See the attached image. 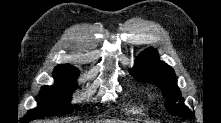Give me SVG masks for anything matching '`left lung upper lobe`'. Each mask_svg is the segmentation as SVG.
<instances>
[{
	"instance_id": "left-lung-upper-lobe-1",
	"label": "left lung upper lobe",
	"mask_w": 221,
	"mask_h": 123,
	"mask_svg": "<svg viewBox=\"0 0 221 123\" xmlns=\"http://www.w3.org/2000/svg\"><path fill=\"white\" fill-rule=\"evenodd\" d=\"M129 72L137 80L153 83L161 89L167 100L165 107L169 113L182 117L193 116L190 109L184 105L174 70L166 63L160 62L155 49L148 48L143 51Z\"/></svg>"
}]
</instances>
